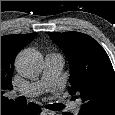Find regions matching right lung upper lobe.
Instances as JSON below:
<instances>
[{
  "instance_id": "right-lung-upper-lobe-1",
  "label": "right lung upper lobe",
  "mask_w": 115,
  "mask_h": 115,
  "mask_svg": "<svg viewBox=\"0 0 115 115\" xmlns=\"http://www.w3.org/2000/svg\"><path fill=\"white\" fill-rule=\"evenodd\" d=\"M36 36L31 34H16L1 37V110L10 105L16 104L15 101L5 97V90H12L11 83L14 70V60L18 52L29 44Z\"/></svg>"
}]
</instances>
